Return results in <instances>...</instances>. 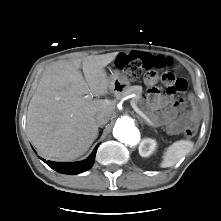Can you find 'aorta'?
Returning <instances> with one entry per match:
<instances>
[{"mask_svg":"<svg viewBox=\"0 0 221 221\" xmlns=\"http://www.w3.org/2000/svg\"><path fill=\"white\" fill-rule=\"evenodd\" d=\"M113 135L121 143L135 145L140 139L139 130L133 120L129 117H122L116 121Z\"/></svg>","mask_w":221,"mask_h":221,"instance_id":"aorta-1","label":"aorta"}]
</instances>
